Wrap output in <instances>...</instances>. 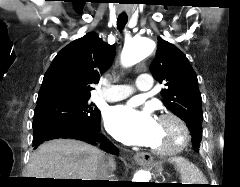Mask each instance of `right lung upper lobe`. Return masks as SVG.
<instances>
[{"label": "right lung upper lobe", "instance_id": "right-lung-upper-lobe-1", "mask_svg": "<svg viewBox=\"0 0 240 187\" xmlns=\"http://www.w3.org/2000/svg\"><path fill=\"white\" fill-rule=\"evenodd\" d=\"M115 47L87 33L64 47L46 71L37 105L59 99L90 98L100 75L112 64Z\"/></svg>", "mask_w": 240, "mask_h": 187}]
</instances>
